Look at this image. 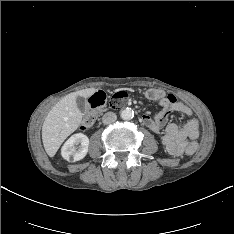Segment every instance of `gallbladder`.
<instances>
[{
  "label": "gallbladder",
  "instance_id": "obj_1",
  "mask_svg": "<svg viewBox=\"0 0 234 234\" xmlns=\"http://www.w3.org/2000/svg\"><path fill=\"white\" fill-rule=\"evenodd\" d=\"M77 107L80 111L84 112L86 110V100L84 97L78 96L76 98Z\"/></svg>",
  "mask_w": 234,
  "mask_h": 234
}]
</instances>
